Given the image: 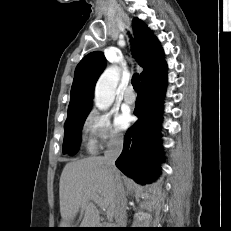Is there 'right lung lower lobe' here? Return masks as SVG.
Returning a JSON list of instances; mask_svg holds the SVG:
<instances>
[{"label": "right lung lower lobe", "mask_w": 231, "mask_h": 231, "mask_svg": "<svg viewBox=\"0 0 231 231\" xmlns=\"http://www.w3.org/2000/svg\"><path fill=\"white\" fill-rule=\"evenodd\" d=\"M166 84V71L141 83L134 110L138 121L125 134L123 151L116 160V166L137 183H151L160 173L159 128Z\"/></svg>", "instance_id": "1"}]
</instances>
